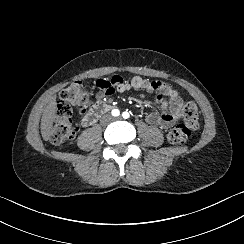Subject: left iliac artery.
Returning <instances> with one entry per match:
<instances>
[{
	"label": "left iliac artery",
	"instance_id": "left-iliac-artery-1",
	"mask_svg": "<svg viewBox=\"0 0 244 244\" xmlns=\"http://www.w3.org/2000/svg\"><path fill=\"white\" fill-rule=\"evenodd\" d=\"M122 117L124 119H128L130 117V114L127 111H125V112L122 113Z\"/></svg>",
	"mask_w": 244,
	"mask_h": 244
}]
</instances>
